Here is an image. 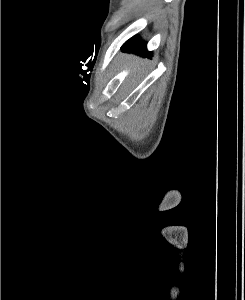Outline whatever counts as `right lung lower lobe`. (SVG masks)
I'll return each instance as SVG.
<instances>
[{"label":"right lung lower lobe","mask_w":245,"mask_h":300,"mask_svg":"<svg viewBox=\"0 0 245 300\" xmlns=\"http://www.w3.org/2000/svg\"><path fill=\"white\" fill-rule=\"evenodd\" d=\"M122 50L145 54L147 56L151 55V52H147L146 42H143L138 36H134L126 41L122 46Z\"/></svg>","instance_id":"98d812e1"}]
</instances>
